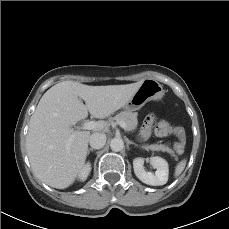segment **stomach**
Listing matches in <instances>:
<instances>
[{
    "label": "stomach",
    "instance_id": "stomach-1",
    "mask_svg": "<svg viewBox=\"0 0 229 229\" xmlns=\"http://www.w3.org/2000/svg\"><path fill=\"white\" fill-rule=\"evenodd\" d=\"M164 95L163 86L154 79H145L142 84L125 105L128 111H136L143 107L148 101L160 100Z\"/></svg>",
    "mask_w": 229,
    "mask_h": 229
}]
</instances>
